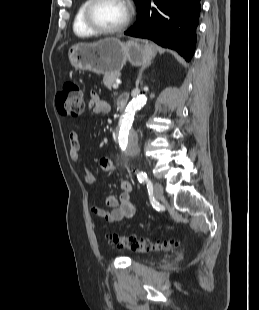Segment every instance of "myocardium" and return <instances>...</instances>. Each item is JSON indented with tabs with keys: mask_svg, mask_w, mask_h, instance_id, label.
<instances>
[{
	"mask_svg": "<svg viewBox=\"0 0 259 310\" xmlns=\"http://www.w3.org/2000/svg\"><path fill=\"white\" fill-rule=\"evenodd\" d=\"M100 1L101 0H89L88 4L86 5L84 9V23L87 26V28L90 31H92L94 34H98V35H113V34H117V33L124 31L130 25V22L132 19V12H131L128 2L126 0H120L121 2L125 4L127 8V16H126L125 21L121 25L115 28H104L98 25L94 21L93 16H92L94 7Z\"/></svg>",
	"mask_w": 259,
	"mask_h": 310,
	"instance_id": "myocardium-1",
	"label": "myocardium"
}]
</instances>
